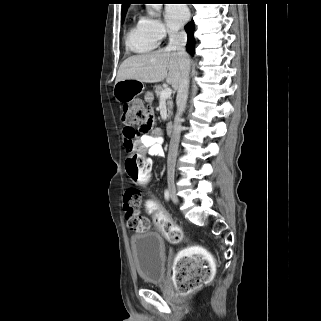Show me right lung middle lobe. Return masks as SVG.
Here are the masks:
<instances>
[{"label": "right lung middle lobe", "mask_w": 321, "mask_h": 321, "mask_svg": "<svg viewBox=\"0 0 321 321\" xmlns=\"http://www.w3.org/2000/svg\"><path fill=\"white\" fill-rule=\"evenodd\" d=\"M125 14H126V13L122 14V18H121V21H122V22H123V20H124Z\"/></svg>", "instance_id": "dd1d6c3e"}]
</instances>
